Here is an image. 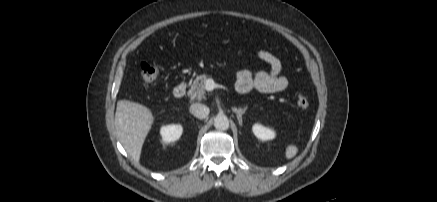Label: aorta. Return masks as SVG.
Segmentation results:
<instances>
[{
  "mask_svg": "<svg viewBox=\"0 0 437 202\" xmlns=\"http://www.w3.org/2000/svg\"><path fill=\"white\" fill-rule=\"evenodd\" d=\"M214 126L218 130H227L229 128V120L225 115L219 114L214 119Z\"/></svg>",
  "mask_w": 437,
  "mask_h": 202,
  "instance_id": "1",
  "label": "aorta"
}]
</instances>
